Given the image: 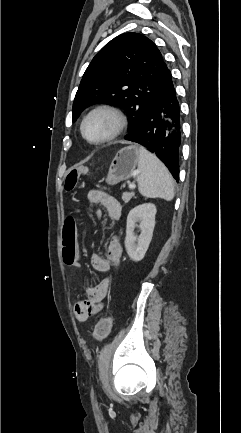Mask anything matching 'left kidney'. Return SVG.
<instances>
[{
  "mask_svg": "<svg viewBox=\"0 0 241 433\" xmlns=\"http://www.w3.org/2000/svg\"><path fill=\"white\" fill-rule=\"evenodd\" d=\"M156 206L145 203L133 208L127 216L125 248L134 262L141 261L148 250L155 227ZM140 222V235L134 233L136 223Z\"/></svg>",
  "mask_w": 241,
  "mask_h": 433,
  "instance_id": "1",
  "label": "left kidney"
}]
</instances>
